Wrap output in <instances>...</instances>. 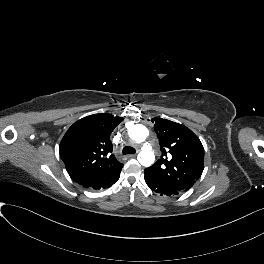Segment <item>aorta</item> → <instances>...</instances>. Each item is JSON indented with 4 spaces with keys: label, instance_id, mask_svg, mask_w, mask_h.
<instances>
[{
    "label": "aorta",
    "instance_id": "aorta-1",
    "mask_svg": "<svg viewBox=\"0 0 264 264\" xmlns=\"http://www.w3.org/2000/svg\"><path fill=\"white\" fill-rule=\"evenodd\" d=\"M148 130L143 125H132L129 130V136L137 144L143 145L141 152L138 155V160L143 166H149L154 162V154L146 140L148 137Z\"/></svg>",
    "mask_w": 264,
    "mask_h": 264
}]
</instances>
